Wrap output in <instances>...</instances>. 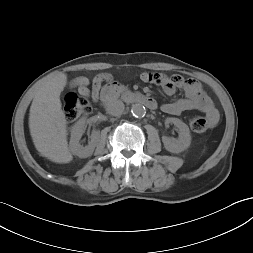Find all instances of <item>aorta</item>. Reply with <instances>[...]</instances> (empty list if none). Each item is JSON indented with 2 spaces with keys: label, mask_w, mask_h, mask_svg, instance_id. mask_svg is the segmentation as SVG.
<instances>
[{
  "label": "aorta",
  "mask_w": 253,
  "mask_h": 253,
  "mask_svg": "<svg viewBox=\"0 0 253 253\" xmlns=\"http://www.w3.org/2000/svg\"><path fill=\"white\" fill-rule=\"evenodd\" d=\"M131 113L135 117H143L146 114V109H145L144 105H142L140 103H136V104L132 105Z\"/></svg>",
  "instance_id": "762f6f07"
}]
</instances>
